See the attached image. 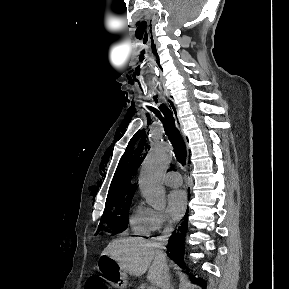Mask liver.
Segmentation results:
<instances>
[{
	"label": "liver",
	"instance_id": "1",
	"mask_svg": "<svg viewBox=\"0 0 289 289\" xmlns=\"http://www.w3.org/2000/svg\"><path fill=\"white\" fill-rule=\"evenodd\" d=\"M101 255L112 257L121 270L136 277L148 271L147 279L156 285L163 273L158 249L142 238L113 240Z\"/></svg>",
	"mask_w": 289,
	"mask_h": 289
}]
</instances>
